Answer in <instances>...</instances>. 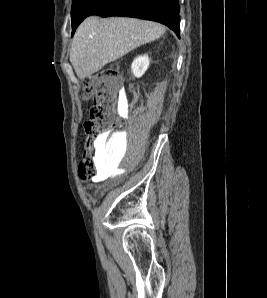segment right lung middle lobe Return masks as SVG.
I'll return each mask as SVG.
<instances>
[{"label": "right lung middle lobe", "instance_id": "obj_1", "mask_svg": "<svg viewBox=\"0 0 267 298\" xmlns=\"http://www.w3.org/2000/svg\"><path fill=\"white\" fill-rule=\"evenodd\" d=\"M100 1L101 0H73L71 11L72 31L77 28L84 18L90 15Z\"/></svg>", "mask_w": 267, "mask_h": 298}]
</instances>
